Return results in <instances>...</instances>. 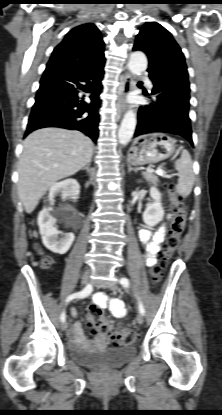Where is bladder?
<instances>
[{"label":"bladder","instance_id":"1","mask_svg":"<svg viewBox=\"0 0 222 415\" xmlns=\"http://www.w3.org/2000/svg\"><path fill=\"white\" fill-rule=\"evenodd\" d=\"M135 346L106 348L102 350H86L70 348L68 355L71 361L89 367H120L135 358Z\"/></svg>","mask_w":222,"mask_h":415}]
</instances>
